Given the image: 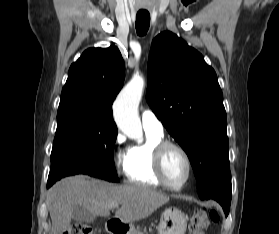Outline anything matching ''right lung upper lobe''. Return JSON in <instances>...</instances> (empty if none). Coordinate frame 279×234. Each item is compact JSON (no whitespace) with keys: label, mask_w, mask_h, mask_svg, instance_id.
<instances>
[{"label":"right lung upper lobe","mask_w":279,"mask_h":234,"mask_svg":"<svg viewBox=\"0 0 279 234\" xmlns=\"http://www.w3.org/2000/svg\"><path fill=\"white\" fill-rule=\"evenodd\" d=\"M124 70L116 46L85 50L69 69L57 115H86L116 128L111 108L123 86Z\"/></svg>","instance_id":"right-lung-upper-lobe-1"}]
</instances>
